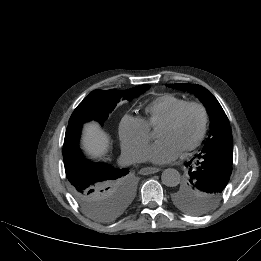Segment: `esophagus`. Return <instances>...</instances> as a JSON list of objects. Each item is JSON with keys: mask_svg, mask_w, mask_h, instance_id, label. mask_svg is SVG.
I'll return each mask as SVG.
<instances>
[{"mask_svg": "<svg viewBox=\"0 0 261 261\" xmlns=\"http://www.w3.org/2000/svg\"><path fill=\"white\" fill-rule=\"evenodd\" d=\"M160 169L156 167H145L140 170V174L142 175H149L159 172Z\"/></svg>", "mask_w": 261, "mask_h": 261, "instance_id": "obj_1", "label": "esophagus"}]
</instances>
